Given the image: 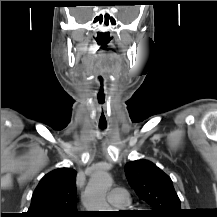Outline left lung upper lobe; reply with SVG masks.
<instances>
[{
    "mask_svg": "<svg viewBox=\"0 0 217 217\" xmlns=\"http://www.w3.org/2000/svg\"><path fill=\"white\" fill-rule=\"evenodd\" d=\"M125 173L136 194L153 208L151 217H181L183 211L172 180L155 164L142 159L131 161Z\"/></svg>",
    "mask_w": 217,
    "mask_h": 217,
    "instance_id": "left-lung-upper-lobe-1",
    "label": "left lung upper lobe"
}]
</instances>
